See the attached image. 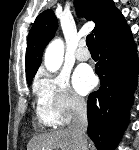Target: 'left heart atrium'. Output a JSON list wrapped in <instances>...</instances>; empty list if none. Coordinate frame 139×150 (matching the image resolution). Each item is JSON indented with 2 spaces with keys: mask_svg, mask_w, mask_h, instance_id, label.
I'll list each match as a JSON object with an SVG mask.
<instances>
[{
  "mask_svg": "<svg viewBox=\"0 0 139 150\" xmlns=\"http://www.w3.org/2000/svg\"><path fill=\"white\" fill-rule=\"evenodd\" d=\"M73 84L80 94H87L95 85V77L88 68H78L73 77Z\"/></svg>",
  "mask_w": 139,
  "mask_h": 150,
  "instance_id": "obj_1",
  "label": "left heart atrium"
}]
</instances>
